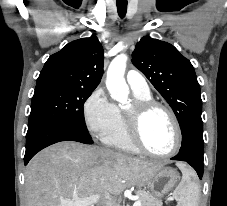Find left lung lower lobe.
<instances>
[{
    "mask_svg": "<svg viewBox=\"0 0 227 206\" xmlns=\"http://www.w3.org/2000/svg\"><path fill=\"white\" fill-rule=\"evenodd\" d=\"M203 137L191 135L182 141L179 153L171 160L185 161L197 172L199 178L203 176Z\"/></svg>",
    "mask_w": 227,
    "mask_h": 206,
    "instance_id": "1",
    "label": "left lung lower lobe"
}]
</instances>
